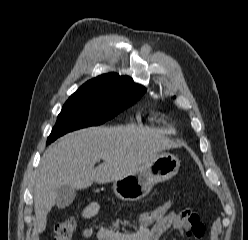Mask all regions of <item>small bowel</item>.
<instances>
[{
    "label": "small bowel",
    "mask_w": 248,
    "mask_h": 240,
    "mask_svg": "<svg viewBox=\"0 0 248 240\" xmlns=\"http://www.w3.org/2000/svg\"><path fill=\"white\" fill-rule=\"evenodd\" d=\"M96 202L90 203L82 212V217L90 219L99 212ZM174 230L187 240H201L205 235V226L200 217L191 210L170 212L163 218L149 226L140 227L133 231L120 232L109 228L93 230L85 228L82 234L85 238L94 237L97 240H160L168 230Z\"/></svg>",
    "instance_id": "c3829d8e"
}]
</instances>
